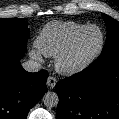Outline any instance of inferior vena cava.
Segmentation results:
<instances>
[{"instance_id": "obj_1", "label": "inferior vena cava", "mask_w": 119, "mask_h": 119, "mask_svg": "<svg viewBox=\"0 0 119 119\" xmlns=\"http://www.w3.org/2000/svg\"><path fill=\"white\" fill-rule=\"evenodd\" d=\"M27 72H38L41 69V64L34 60H28L22 64Z\"/></svg>"}]
</instances>
